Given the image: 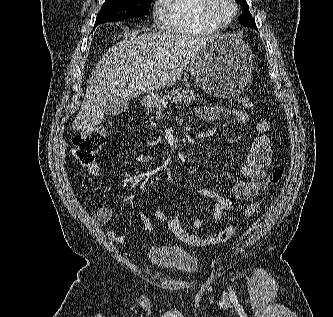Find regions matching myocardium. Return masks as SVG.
<instances>
[{"instance_id":"myocardium-1","label":"myocardium","mask_w":333,"mask_h":317,"mask_svg":"<svg viewBox=\"0 0 333 317\" xmlns=\"http://www.w3.org/2000/svg\"><path fill=\"white\" fill-rule=\"evenodd\" d=\"M232 4L233 12L231 16L227 19H221L214 13V3L215 0H201L200 10L202 16L211 24L224 28L229 26L237 17L239 12L238 3L236 0H229Z\"/></svg>"}]
</instances>
